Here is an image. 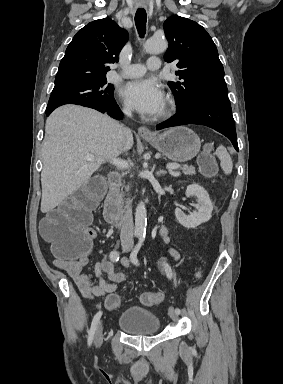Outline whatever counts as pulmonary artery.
Returning a JSON list of instances; mask_svg holds the SVG:
<instances>
[{
    "mask_svg": "<svg viewBox=\"0 0 283 384\" xmlns=\"http://www.w3.org/2000/svg\"><path fill=\"white\" fill-rule=\"evenodd\" d=\"M146 68L141 64H133L127 67H124L120 71V76L123 78H136L142 76L146 69L147 71H159L160 62L159 61H146Z\"/></svg>",
    "mask_w": 283,
    "mask_h": 384,
    "instance_id": "1",
    "label": "pulmonary artery"
}]
</instances>
